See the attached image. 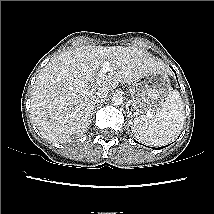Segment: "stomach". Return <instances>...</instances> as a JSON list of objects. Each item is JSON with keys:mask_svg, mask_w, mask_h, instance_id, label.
I'll list each match as a JSON object with an SVG mask.
<instances>
[{"mask_svg": "<svg viewBox=\"0 0 214 214\" xmlns=\"http://www.w3.org/2000/svg\"><path fill=\"white\" fill-rule=\"evenodd\" d=\"M129 91L131 116L154 113L171 93L170 79L166 69L156 70L142 76L132 83Z\"/></svg>", "mask_w": 214, "mask_h": 214, "instance_id": "obj_1", "label": "stomach"}]
</instances>
